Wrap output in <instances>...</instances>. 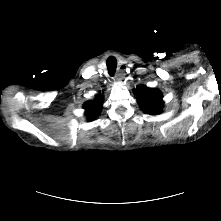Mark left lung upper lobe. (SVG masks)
Segmentation results:
<instances>
[{"label":"left lung upper lobe","instance_id":"5c2ea615","mask_svg":"<svg viewBox=\"0 0 221 221\" xmlns=\"http://www.w3.org/2000/svg\"><path fill=\"white\" fill-rule=\"evenodd\" d=\"M141 109L147 114H158L162 110L163 101L160 91L140 86L135 90Z\"/></svg>","mask_w":221,"mask_h":221}]
</instances>
